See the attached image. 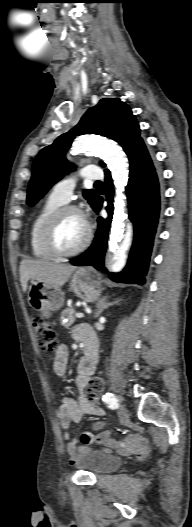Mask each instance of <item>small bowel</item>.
<instances>
[{
    "label": "small bowel",
    "mask_w": 192,
    "mask_h": 527,
    "mask_svg": "<svg viewBox=\"0 0 192 527\" xmlns=\"http://www.w3.org/2000/svg\"><path fill=\"white\" fill-rule=\"evenodd\" d=\"M74 338L85 344L84 356L79 362L78 375L75 380L80 396L78 400L65 396L58 407V417L63 429V438L69 441L67 444V450L70 455V463H76L78 457L85 453L89 449V446L94 443H100L109 448L117 447L121 451L127 453L126 457L130 461L135 460L137 456H147L149 453V447L144 439L137 435H130L122 440L116 441L112 437V434L120 432V429L112 427L110 429L112 434H110L109 431H102L105 428V423L103 421H98L93 425L95 431H83L80 437L77 436L76 438L71 439L69 428L72 423L80 422L86 414L97 416L104 414V411L98 406V404L93 403L88 398V390L94 381V379L91 378V375L95 370L97 362V342L95 335L89 326L81 325L75 329ZM87 351L91 353V358L87 356ZM68 356L67 347L64 344L59 345L55 351L53 369L60 377L66 374ZM78 440L82 442V445L78 444ZM140 461H143V458H140Z\"/></svg>",
    "instance_id": "obj_1"
}]
</instances>
